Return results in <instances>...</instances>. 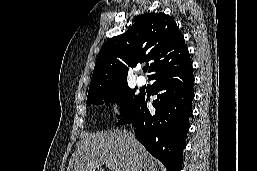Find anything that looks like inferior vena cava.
<instances>
[{"mask_svg":"<svg viewBox=\"0 0 257 171\" xmlns=\"http://www.w3.org/2000/svg\"><path fill=\"white\" fill-rule=\"evenodd\" d=\"M130 136H131L132 140H135L134 135L132 133H130ZM131 171H142L136 156L133 158V164H132Z\"/></svg>","mask_w":257,"mask_h":171,"instance_id":"1","label":"inferior vena cava"}]
</instances>
